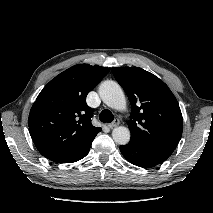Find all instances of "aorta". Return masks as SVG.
<instances>
[{"label": "aorta", "mask_w": 213, "mask_h": 213, "mask_svg": "<svg viewBox=\"0 0 213 213\" xmlns=\"http://www.w3.org/2000/svg\"><path fill=\"white\" fill-rule=\"evenodd\" d=\"M102 101L116 110L126 107V98L120 85L114 81H105L99 87ZM113 140L119 145H126L130 141V131L127 127L119 126L112 131Z\"/></svg>", "instance_id": "aorta-1"}]
</instances>
